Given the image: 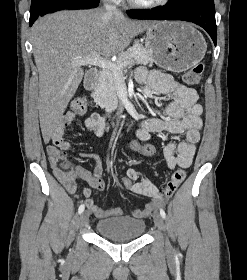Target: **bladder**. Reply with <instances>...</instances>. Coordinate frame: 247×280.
Returning <instances> with one entry per match:
<instances>
[{"label":"bladder","mask_w":247,"mask_h":280,"mask_svg":"<svg viewBox=\"0 0 247 280\" xmlns=\"http://www.w3.org/2000/svg\"><path fill=\"white\" fill-rule=\"evenodd\" d=\"M145 228L144 220L131 217L106 218L96 223V231L101 237L116 242L138 239Z\"/></svg>","instance_id":"obj_1"}]
</instances>
